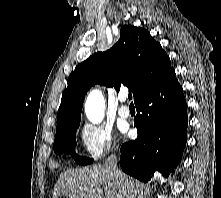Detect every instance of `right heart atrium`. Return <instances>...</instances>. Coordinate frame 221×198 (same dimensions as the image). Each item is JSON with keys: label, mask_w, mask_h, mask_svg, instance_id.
Returning <instances> with one entry per match:
<instances>
[{"label": "right heart atrium", "mask_w": 221, "mask_h": 198, "mask_svg": "<svg viewBox=\"0 0 221 198\" xmlns=\"http://www.w3.org/2000/svg\"><path fill=\"white\" fill-rule=\"evenodd\" d=\"M80 143L90 159H99L115 151L112 133L104 126L86 124L79 133Z\"/></svg>", "instance_id": "right-heart-atrium-1"}]
</instances>
